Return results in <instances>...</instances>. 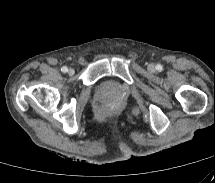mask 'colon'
Segmentation results:
<instances>
[{
    "instance_id": "colon-1",
    "label": "colon",
    "mask_w": 215,
    "mask_h": 183,
    "mask_svg": "<svg viewBox=\"0 0 215 183\" xmlns=\"http://www.w3.org/2000/svg\"><path fill=\"white\" fill-rule=\"evenodd\" d=\"M115 110V106L113 105H107L105 108H104V111L107 112V113H111Z\"/></svg>"
}]
</instances>
